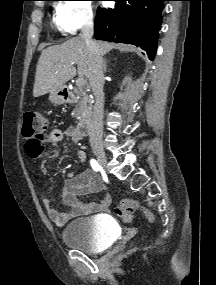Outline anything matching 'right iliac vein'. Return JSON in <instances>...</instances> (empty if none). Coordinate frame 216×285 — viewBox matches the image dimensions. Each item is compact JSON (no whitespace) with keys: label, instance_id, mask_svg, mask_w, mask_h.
Returning <instances> with one entry per match:
<instances>
[{"label":"right iliac vein","instance_id":"1","mask_svg":"<svg viewBox=\"0 0 216 285\" xmlns=\"http://www.w3.org/2000/svg\"><path fill=\"white\" fill-rule=\"evenodd\" d=\"M93 152L99 162V164L103 167V168H106L107 166V158H106V155H105V152L103 151L102 148L100 147H94L93 148Z\"/></svg>","mask_w":216,"mask_h":285}]
</instances>
